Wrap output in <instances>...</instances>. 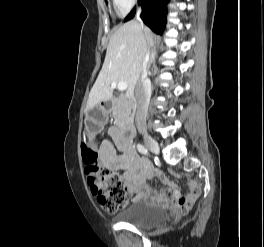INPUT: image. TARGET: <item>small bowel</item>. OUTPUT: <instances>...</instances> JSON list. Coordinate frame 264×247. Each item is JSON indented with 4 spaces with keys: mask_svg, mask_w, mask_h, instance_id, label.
<instances>
[{
    "mask_svg": "<svg viewBox=\"0 0 264 247\" xmlns=\"http://www.w3.org/2000/svg\"><path fill=\"white\" fill-rule=\"evenodd\" d=\"M108 134L110 139L103 141L99 148L100 163L107 170L124 171L126 183L132 193L165 205L188 202L193 198L196 200L200 188L195 181H187L186 191H180L161 172L156 171L146 159L136 153L131 138L118 127H111ZM152 178L159 179L166 186L160 194H149L146 181Z\"/></svg>",
    "mask_w": 264,
    "mask_h": 247,
    "instance_id": "c3829d8e",
    "label": "small bowel"
}]
</instances>
